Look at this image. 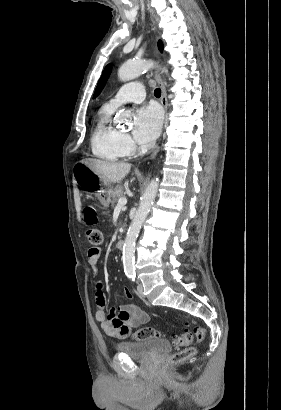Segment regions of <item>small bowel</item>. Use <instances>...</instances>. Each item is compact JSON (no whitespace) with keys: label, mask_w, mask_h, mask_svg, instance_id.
<instances>
[{"label":"small bowel","mask_w":281,"mask_h":410,"mask_svg":"<svg viewBox=\"0 0 281 410\" xmlns=\"http://www.w3.org/2000/svg\"><path fill=\"white\" fill-rule=\"evenodd\" d=\"M101 250L98 247H91L88 250L89 265L93 274H98V261ZM96 297V319L101 323L104 332L110 336L124 339L128 336L131 328L143 325L149 321V315L135 304H127L111 308H106V299L103 293V284L97 281L95 285ZM125 298H131V291L123 288Z\"/></svg>","instance_id":"c3829d8e"}]
</instances>
